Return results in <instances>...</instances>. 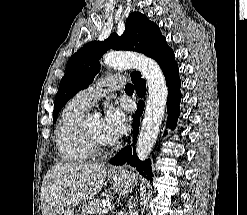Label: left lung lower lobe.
<instances>
[{
  "mask_svg": "<svg viewBox=\"0 0 247 215\" xmlns=\"http://www.w3.org/2000/svg\"><path fill=\"white\" fill-rule=\"evenodd\" d=\"M160 65L163 74L165 76L167 86H168V119L166 127L174 129L177 118L179 116V104L181 100L180 92V79L178 73V65L175 62L173 50L164 42L159 49L155 52L152 57ZM131 79L136 86V93L139 97H143L146 93V82L141 79V74L139 72L134 73ZM144 109V102L139 101L138 107L134 115V127H133V146L137 138V133L139 129V116L142 115ZM130 142V141H129ZM113 165H122L128 163L133 167H136L137 171L145 178L152 181V168L150 160L141 162L133 148V155L131 146L122 149L113 159L110 160Z\"/></svg>",
  "mask_w": 247,
  "mask_h": 215,
  "instance_id": "left-lung-lower-lobe-1",
  "label": "left lung lower lobe"
}]
</instances>
